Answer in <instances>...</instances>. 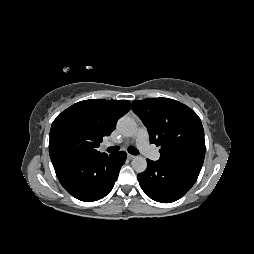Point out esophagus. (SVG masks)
Returning a JSON list of instances; mask_svg holds the SVG:
<instances>
[{
	"label": "esophagus",
	"instance_id": "1",
	"mask_svg": "<svg viewBox=\"0 0 254 254\" xmlns=\"http://www.w3.org/2000/svg\"><path fill=\"white\" fill-rule=\"evenodd\" d=\"M127 158H128L129 160H132V159H134V158H135V155H132V154H127Z\"/></svg>",
	"mask_w": 254,
	"mask_h": 254
}]
</instances>
